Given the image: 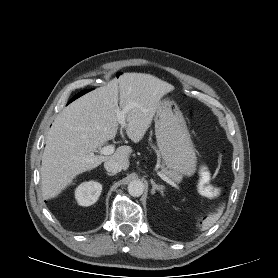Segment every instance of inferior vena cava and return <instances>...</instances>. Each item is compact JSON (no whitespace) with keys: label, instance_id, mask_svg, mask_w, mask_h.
Masks as SVG:
<instances>
[{"label":"inferior vena cava","instance_id":"inferior-vena-cava-1","mask_svg":"<svg viewBox=\"0 0 278 278\" xmlns=\"http://www.w3.org/2000/svg\"><path fill=\"white\" fill-rule=\"evenodd\" d=\"M104 167L108 172H111L113 174H116L120 172L123 169V166L121 163L115 161V160H107L104 163Z\"/></svg>","mask_w":278,"mask_h":278}]
</instances>
